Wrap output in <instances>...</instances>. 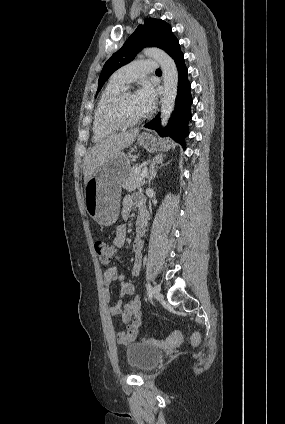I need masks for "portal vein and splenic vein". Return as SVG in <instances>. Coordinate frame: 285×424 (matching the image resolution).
I'll list each match as a JSON object with an SVG mask.
<instances>
[{
  "label": "portal vein and splenic vein",
  "mask_w": 285,
  "mask_h": 424,
  "mask_svg": "<svg viewBox=\"0 0 285 424\" xmlns=\"http://www.w3.org/2000/svg\"><path fill=\"white\" fill-rule=\"evenodd\" d=\"M147 172H148V169H147V167H145L141 172L140 179H139L140 181L143 180L147 176Z\"/></svg>",
  "instance_id": "portal-vein-and-splenic-vein-1"
}]
</instances>
